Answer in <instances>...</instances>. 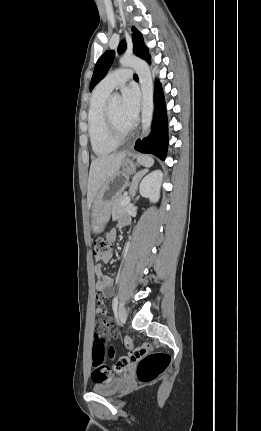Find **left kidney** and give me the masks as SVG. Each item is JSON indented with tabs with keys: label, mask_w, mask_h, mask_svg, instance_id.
Masks as SVG:
<instances>
[{
	"label": "left kidney",
	"mask_w": 261,
	"mask_h": 431,
	"mask_svg": "<svg viewBox=\"0 0 261 431\" xmlns=\"http://www.w3.org/2000/svg\"><path fill=\"white\" fill-rule=\"evenodd\" d=\"M162 178L163 174L160 170L153 171L144 177L139 188L141 196L148 198L152 203L157 202L160 197Z\"/></svg>",
	"instance_id": "obj_1"
}]
</instances>
